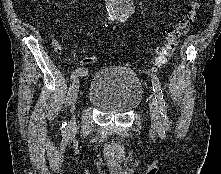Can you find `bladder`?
<instances>
[{
  "label": "bladder",
  "instance_id": "1",
  "mask_svg": "<svg viewBox=\"0 0 221 174\" xmlns=\"http://www.w3.org/2000/svg\"><path fill=\"white\" fill-rule=\"evenodd\" d=\"M142 97L141 80L133 70L121 65H108L97 70L87 94L92 106L110 114H124L134 110Z\"/></svg>",
  "mask_w": 221,
  "mask_h": 174
}]
</instances>
